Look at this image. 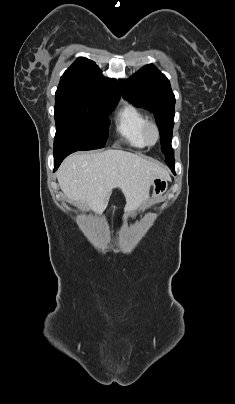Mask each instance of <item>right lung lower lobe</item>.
<instances>
[{"mask_svg":"<svg viewBox=\"0 0 235 404\" xmlns=\"http://www.w3.org/2000/svg\"><path fill=\"white\" fill-rule=\"evenodd\" d=\"M75 151H59V152H54V171L57 170L61 162L71 153Z\"/></svg>","mask_w":235,"mask_h":404,"instance_id":"obj_1","label":"right lung lower lobe"}]
</instances>
